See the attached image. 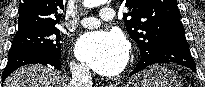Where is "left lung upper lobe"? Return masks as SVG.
I'll use <instances>...</instances> for the list:
<instances>
[{
    "label": "left lung upper lobe",
    "mask_w": 205,
    "mask_h": 87,
    "mask_svg": "<svg viewBox=\"0 0 205 87\" xmlns=\"http://www.w3.org/2000/svg\"><path fill=\"white\" fill-rule=\"evenodd\" d=\"M121 1L129 8L123 19L130 37L140 48L141 58L156 55L167 36L184 32L176 0Z\"/></svg>",
    "instance_id": "obj_1"
}]
</instances>
